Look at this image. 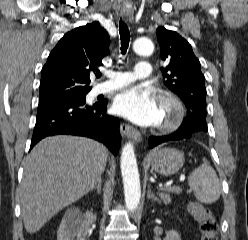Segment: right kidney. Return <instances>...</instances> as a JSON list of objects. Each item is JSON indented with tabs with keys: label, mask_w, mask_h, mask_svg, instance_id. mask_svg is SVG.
Listing matches in <instances>:
<instances>
[{
	"label": "right kidney",
	"mask_w": 248,
	"mask_h": 240,
	"mask_svg": "<svg viewBox=\"0 0 248 240\" xmlns=\"http://www.w3.org/2000/svg\"><path fill=\"white\" fill-rule=\"evenodd\" d=\"M84 217L86 222H94L96 220V214L90 211H87ZM85 233L86 227L84 223L64 218L58 229L57 240H84Z\"/></svg>",
	"instance_id": "1"
}]
</instances>
